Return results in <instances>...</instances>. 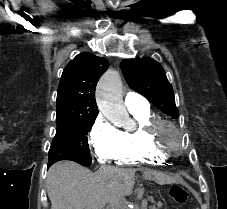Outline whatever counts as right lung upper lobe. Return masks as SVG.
<instances>
[{"label": "right lung upper lobe", "mask_w": 227, "mask_h": 209, "mask_svg": "<svg viewBox=\"0 0 227 209\" xmlns=\"http://www.w3.org/2000/svg\"><path fill=\"white\" fill-rule=\"evenodd\" d=\"M109 67L105 58L84 52L65 67L57 94V115H98L95 88Z\"/></svg>", "instance_id": "cb5924a9"}]
</instances>
